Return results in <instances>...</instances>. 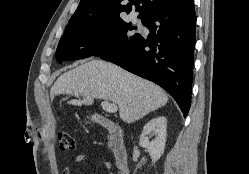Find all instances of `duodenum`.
Returning a JSON list of instances; mask_svg holds the SVG:
<instances>
[{"mask_svg": "<svg viewBox=\"0 0 249 174\" xmlns=\"http://www.w3.org/2000/svg\"><path fill=\"white\" fill-rule=\"evenodd\" d=\"M95 120L99 125L107 129L109 133V142L119 174H130L128 154L124 144L122 129L113 121L102 116L97 115Z\"/></svg>", "mask_w": 249, "mask_h": 174, "instance_id": "duodenum-1", "label": "duodenum"}]
</instances>
